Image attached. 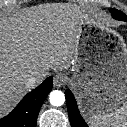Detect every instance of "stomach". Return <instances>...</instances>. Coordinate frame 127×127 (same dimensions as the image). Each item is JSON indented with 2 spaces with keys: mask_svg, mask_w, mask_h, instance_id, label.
<instances>
[{
  "mask_svg": "<svg viewBox=\"0 0 127 127\" xmlns=\"http://www.w3.org/2000/svg\"><path fill=\"white\" fill-rule=\"evenodd\" d=\"M69 82L88 114L109 112L127 99V53L112 50L101 34L81 26Z\"/></svg>",
  "mask_w": 127,
  "mask_h": 127,
  "instance_id": "0dacf381",
  "label": "stomach"
}]
</instances>
